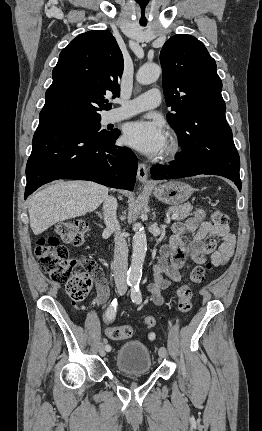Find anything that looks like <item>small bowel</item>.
I'll list each match as a JSON object with an SVG mask.
<instances>
[{
	"label": "small bowel",
	"instance_id": "1",
	"mask_svg": "<svg viewBox=\"0 0 262 431\" xmlns=\"http://www.w3.org/2000/svg\"><path fill=\"white\" fill-rule=\"evenodd\" d=\"M204 213L197 210L194 214L182 222L172 224V234L165 244L158 257V262L153 270V282L149 286L152 300L156 305L164 303L162 291L171 284L182 280L181 268L185 260L189 257L195 263H203L208 257L216 265L225 263L232 257L235 246V236L229 227H215L208 221H203ZM192 234L189 242L184 241V236ZM216 239H221L220 246ZM109 288L104 279L97 281V293L93 304H101L108 299ZM151 340L156 335L149 334Z\"/></svg>",
	"mask_w": 262,
	"mask_h": 431
}]
</instances>
